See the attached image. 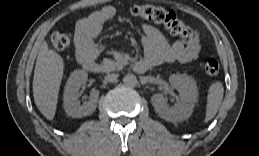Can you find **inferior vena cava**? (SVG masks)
<instances>
[{"label": "inferior vena cava", "mask_w": 259, "mask_h": 156, "mask_svg": "<svg viewBox=\"0 0 259 156\" xmlns=\"http://www.w3.org/2000/svg\"><path fill=\"white\" fill-rule=\"evenodd\" d=\"M117 78H118V74H115V73L107 74L105 76V80H107L108 82H114L116 81Z\"/></svg>", "instance_id": "obj_1"}]
</instances>
